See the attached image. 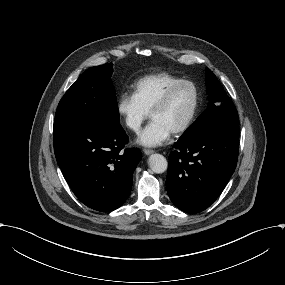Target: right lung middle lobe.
Here are the masks:
<instances>
[{"label": "right lung middle lobe", "instance_id": "obj_1", "mask_svg": "<svg viewBox=\"0 0 285 285\" xmlns=\"http://www.w3.org/2000/svg\"><path fill=\"white\" fill-rule=\"evenodd\" d=\"M112 63L82 73L57 107L55 122L89 121L119 125L115 88L111 82Z\"/></svg>", "mask_w": 285, "mask_h": 285}]
</instances>
